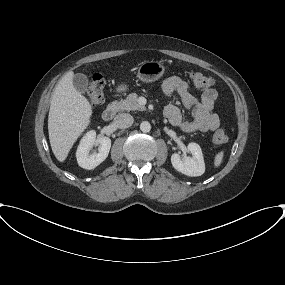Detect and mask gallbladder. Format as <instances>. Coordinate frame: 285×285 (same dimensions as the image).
<instances>
[{
    "label": "gallbladder",
    "instance_id": "bac80fb5",
    "mask_svg": "<svg viewBox=\"0 0 285 285\" xmlns=\"http://www.w3.org/2000/svg\"><path fill=\"white\" fill-rule=\"evenodd\" d=\"M88 78L85 74L77 73L73 76V85L80 93H85L88 87Z\"/></svg>",
    "mask_w": 285,
    "mask_h": 285
}]
</instances>
